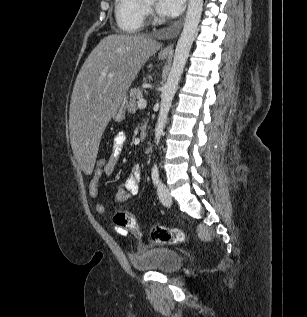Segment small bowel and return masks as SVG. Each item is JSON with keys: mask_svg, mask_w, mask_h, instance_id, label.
<instances>
[{"mask_svg": "<svg viewBox=\"0 0 307 317\" xmlns=\"http://www.w3.org/2000/svg\"><path fill=\"white\" fill-rule=\"evenodd\" d=\"M126 135L124 132H118L113 139L112 151L104 168L94 169L91 173V180L89 183V195L96 199L99 192V182L102 177L111 175L118 164L120 156L126 145ZM141 181V168L134 166L131 173L128 175L124 184L118 188L116 198L120 203L128 202L132 196L139 193ZM95 211L103 216H107L106 207L102 203L95 204ZM116 231L122 235H126L127 231L118 227Z\"/></svg>", "mask_w": 307, "mask_h": 317, "instance_id": "1", "label": "small bowel"}]
</instances>
